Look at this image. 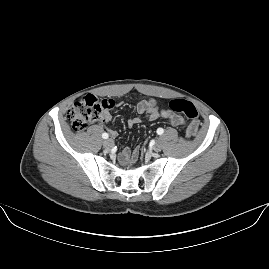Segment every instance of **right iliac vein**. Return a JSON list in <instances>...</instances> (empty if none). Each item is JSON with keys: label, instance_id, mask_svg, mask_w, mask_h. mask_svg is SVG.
<instances>
[{"label": "right iliac vein", "instance_id": "63e3f726", "mask_svg": "<svg viewBox=\"0 0 269 269\" xmlns=\"http://www.w3.org/2000/svg\"><path fill=\"white\" fill-rule=\"evenodd\" d=\"M113 140L110 138V139H107V140H105L104 142H103V146H104V148H106V149H110V148H112V146H113Z\"/></svg>", "mask_w": 269, "mask_h": 269}]
</instances>
